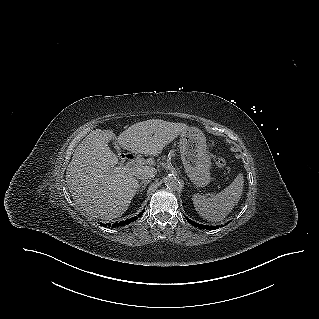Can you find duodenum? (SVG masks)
<instances>
[{
	"label": "duodenum",
	"mask_w": 319,
	"mask_h": 319,
	"mask_svg": "<svg viewBox=\"0 0 319 319\" xmlns=\"http://www.w3.org/2000/svg\"><path fill=\"white\" fill-rule=\"evenodd\" d=\"M126 159H127L128 161H134V160H135V157H134L133 155H127V156H126Z\"/></svg>",
	"instance_id": "duodenum-1"
}]
</instances>
